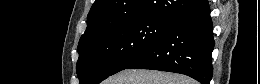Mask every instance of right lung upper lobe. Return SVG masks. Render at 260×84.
<instances>
[{
	"instance_id": "1",
	"label": "right lung upper lobe",
	"mask_w": 260,
	"mask_h": 84,
	"mask_svg": "<svg viewBox=\"0 0 260 84\" xmlns=\"http://www.w3.org/2000/svg\"><path fill=\"white\" fill-rule=\"evenodd\" d=\"M204 0H96L87 16L79 45L96 39L123 22L157 17L173 20ZM78 45V46H79Z\"/></svg>"
}]
</instances>
